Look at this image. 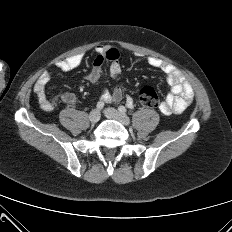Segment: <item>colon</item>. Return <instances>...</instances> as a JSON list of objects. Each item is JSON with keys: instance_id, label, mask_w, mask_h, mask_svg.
<instances>
[{"instance_id": "1", "label": "colon", "mask_w": 232, "mask_h": 232, "mask_svg": "<svg viewBox=\"0 0 232 232\" xmlns=\"http://www.w3.org/2000/svg\"><path fill=\"white\" fill-rule=\"evenodd\" d=\"M140 102L148 108H156L159 106V95L151 86H144L139 92Z\"/></svg>"}]
</instances>
